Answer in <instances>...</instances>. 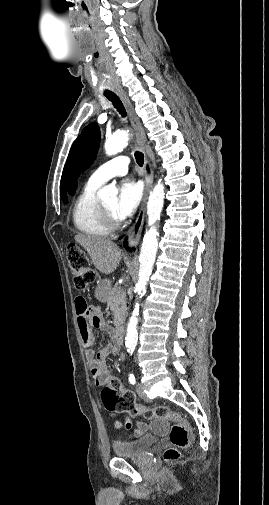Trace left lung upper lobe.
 Masks as SVG:
<instances>
[{
	"label": "left lung upper lobe",
	"mask_w": 269,
	"mask_h": 505,
	"mask_svg": "<svg viewBox=\"0 0 269 505\" xmlns=\"http://www.w3.org/2000/svg\"><path fill=\"white\" fill-rule=\"evenodd\" d=\"M100 142V130L97 123L86 126L74 141L67 160L69 191L77 187V178L86 170L96 157Z\"/></svg>",
	"instance_id": "5c2ea615"
}]
</instances>
